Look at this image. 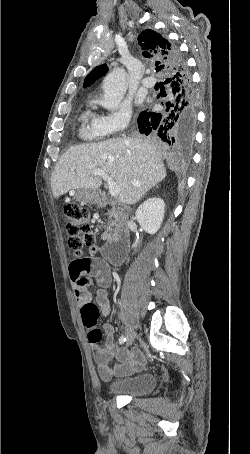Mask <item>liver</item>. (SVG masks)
Instances as JSON below:
<instances>
[{"label": "liver", "instance_id": "obj_1", "mask_svg": "<svg viewBox=\"0 0 250 454\" xmlns=\"http://www.w3.org/2000/svg\"><path fill=\"white\" fill-rule=\"evenodd\" d=\"M161 158L162 152L153 142L136 137L70 147L52 173L53 196L81 189L97 190L102 179L92 175V171L101 169L120 188L119 201L134 204L166 177Z\"/></svg>", "mask_w": 250, "mask_h": 454}]
</instances>
